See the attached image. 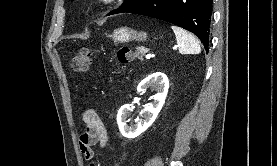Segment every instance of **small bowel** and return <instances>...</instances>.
Instances as JSON below:
<instances>
[{"label":"small bowel","mask_w":277,"mask_h":166,"mask_svg":"<svg viewBox=\"0 0 277 166\" xmlns=\"http://www.w3.org/2000/svg\"><path fill=\"white\" fill-rule=\"evenodd\" d=\"M83 120L86 124V129L80 136V151L84 159L90 162L91 166H95V153L92 147L97 144L102 148L106 146L108 142L107 130L100 117L94 111L85 112Z\"/></svg>","instance_id":"small-bowel-1"}]
</instances>
